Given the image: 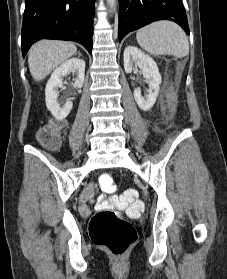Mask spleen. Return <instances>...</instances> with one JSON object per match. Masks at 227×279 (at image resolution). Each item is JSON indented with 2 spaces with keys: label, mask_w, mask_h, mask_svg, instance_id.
Wrapping results in <instances>:
<instances>
[{
  "label": "spleen",
  "mask_w": 227,
  "mask_h": 279,
  "mask_svg": "<svg viewBox=\"0 0 227 279\" xmlns=\"http://www.w3.org/2000/svg\"><path fill=\"white\" fill-rule=\"evenodd\" d=\"M138 44L152 55H173L177 58L189 54V43L184 31L171 21L152 23L137 31Z\"/></svg>",
  "instance_id": "1"
}]
</instances>
